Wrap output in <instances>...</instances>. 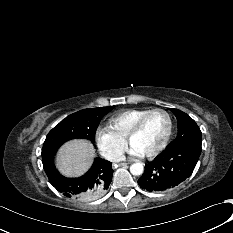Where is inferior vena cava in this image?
I'll use <instances>...</instances> for the list:
<instances>
[{
  "label": "inferior vena cava",
  "instance_id": "602c4592",
  "mask_svg": "<svg viewBox=\"0 0 233 233\" xmlns=\"http://www.w3.org/2000/svg\"><path fill=\"white\" fill-rule=\"evenodd\" d=\"M110 161L112 162H119V161H122L124 160V156L123 155H120V154H114L110 157L109 159Z\"/></svg>",
  "mask_w": 233,
  "mask_h": 233
}]
</instances>
